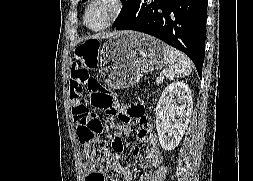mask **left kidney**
I'll list each match as a JSON object with an SVG mask.
<instances>
[{
  "label": "left kidney",
  "mask_w": 253,
  "mask_h": 181,
  "mask_svg": "<svg viewBox=\"0 0 253 181\" xmlns=\"http://www.w3.org/2000/svg\"><path fill=\"white\" fill-rule=\"evenodd\" d=\"M193 101L191 90L184 82L169 84L156 106V129L164 150H174L190 122Z\"/></svg>",
  "instance_id": "obj_1"
}]
</instances>
